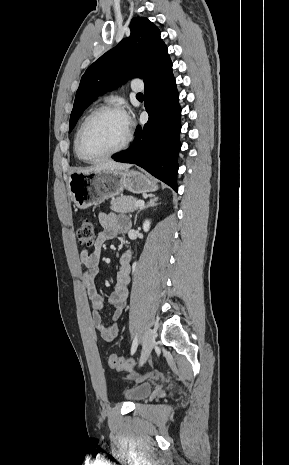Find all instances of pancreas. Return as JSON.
Returning <instances> with one entry per match:
<instances>
[{
	"instance_id": "cf45deb5",
	"label": "pancreas",
	"mask_w": 289,
	"mask_h": 465,
	"mask_svg": "<svg viewBox=\"0 0 289 465\" xmlns=\"http://www.w3.org/2000/svg\"><path fill=\"white\" fill-rule=\"evenodd\" d=\"M136 198L130 196H121L111 200L110 209L117 213H128L138 209Z\"/></svg>"
}]
</instances>
